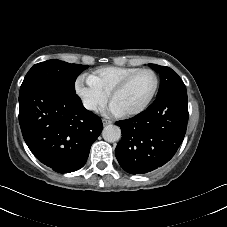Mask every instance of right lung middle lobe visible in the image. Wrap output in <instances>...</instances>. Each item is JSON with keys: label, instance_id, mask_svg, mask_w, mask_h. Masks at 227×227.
Returning <instances> with one entry per match:
<instances>
[{"label": "right lung middle lobe", "instance_id": "obj_1", "mask_svg": "<svg viewBox=\"0 0 227 227\" xmlns=\"http://www.w3.org/2000/svg\"><path fill=\"white\" fill-rule=\"evenodd\" d=\"M88 68L87 65L70 64L60 60H48L35 64L26 74L20 92L39 82H47L75 93L78 75Z\"/></svg>", "mask_w": 227, "mask_h": 227}]
</instances>
